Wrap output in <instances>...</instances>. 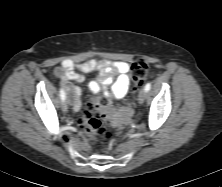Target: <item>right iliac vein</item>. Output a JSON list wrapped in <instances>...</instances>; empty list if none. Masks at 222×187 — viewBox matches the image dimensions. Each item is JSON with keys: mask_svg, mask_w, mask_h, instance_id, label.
<instances>
[{"mask_svg": "<svg viewBox=\"0 0 222 187\" xmlns=\"http://www.w3.org/2000/svg\"><path fill=\"white\" fill-rule=\"evenodd\" d=\"M61 108H62V110H63L64 112L67 111V109H68V100H65V101L62 102Z\"/></svg>", "mask_w": 222, "mask_h": 187, "instance_id": "1", "label": "right iliac vein"}]
</instances>
